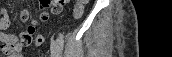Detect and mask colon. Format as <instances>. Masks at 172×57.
<instances>
[{
  "label": "colon",
  "mask_w": 172,
  "mask_h": 57,
  "mask_svg": "<svg viewBox=\"0 0 172 57\" xmlns=\"http://www.w3.org/2000/svg\"><path fill=\"white\" fill-rule=\"evenodd\" d=\"M88 2V0H79L73 10V17L80 18L84 11V5Z\"/></svg>",
  "instance_id": "5ec220e1"
}]
</instances>
